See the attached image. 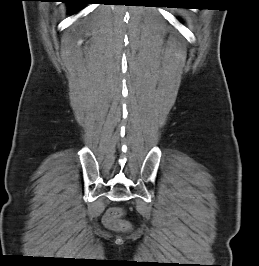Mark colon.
I'll return each instance as SVG.
<instances>
[{
	"label": "colon",
	"mask_w": 259,
	"mask_h": 266,
	"mask_svg": "<svg viewBox=\"0 0 259 266\" xmlns=\"http://www.w3.org/2000/svg\"><path fill=\"white\" fill-rule=\"evenodd\" d=\"M123 214L124 212L121 208L110 209L104 217L105 225L113 230L128 231L131 225L128 221L123 219Z\"/></svg>",
	"instance_id": "1"
}]
</instances>
